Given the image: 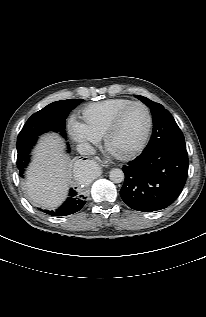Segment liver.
Segmentation results:
<instances>
[{
	"mask_svg": "<svg viewBox=\"0 0 206 317\" xmlns=\"http://www.w3.org/2000/svg\"><path fill=\"white\" fill-rule=\"evenodd\" d=\"M63 146L57 135L44 136L27 171L25 187L30 200L49 210L65 200L71 182L72 163L63 153Z\"/></svg>",
	"mask_w": 206,
	"mask_h": 317,
	"instance_id": "1",
	"label": "liver"
}]
</instances>
